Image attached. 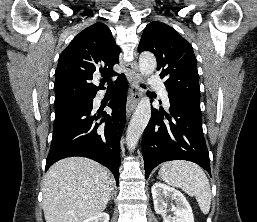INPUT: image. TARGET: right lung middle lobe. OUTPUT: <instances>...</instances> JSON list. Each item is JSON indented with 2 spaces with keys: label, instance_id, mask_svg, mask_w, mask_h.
I'll return each instance as SVG.
<instances>
[{
  "label": "right lung middle lobe",
  "instance_id": "right-lung-middle-lobe-1",
  "mask_svg": "<svg viewBox=\"0 0 257 222\" xmlns=\"http://www.w3.org/2000/svg\"><path fill=\"white\" fill-rule=\"evenodd\" d=\"M92 98L76 99L67 102L55 103V116H60L73 109H87Z\"/></svg>",
  "mask_w": 257,
  "mask_h": 222
}]
</instances>
